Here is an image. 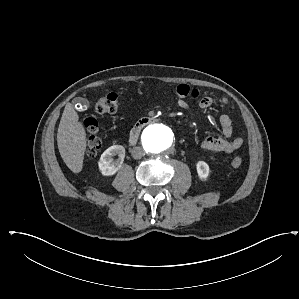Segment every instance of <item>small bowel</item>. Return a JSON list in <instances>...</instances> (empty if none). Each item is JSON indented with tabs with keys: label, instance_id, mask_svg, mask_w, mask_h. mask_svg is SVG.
Returning a JSON list of instances; mask_svg holds the SVG:
<instances>
[{
	"label": "small bowel",
	"instance_id": "c3829d8e",
	"mask_svg": "<svg viewBox=\"0 0 299 299\" xmlns=\"http://www.w3.org/2000/svg\"><path fill=\"white\" fill-rule=\"evenodd\" d=\"M177 105L184 110H191L194 105L190 100L196 99V106L200 109L209 108L216 100L210 95L200 96L198 91L192 90L189 86L181 84L176 89ZM219 101L222 104H227L228 100L225 97H220ZM219 123L222 130V137H207L201 144V150L206 154H232L243 145V139L240 137L232 139L233 122L228 114L219 116Z\"/></svg>",
	"mask_w": 299,
	"mask_h": 299
}]
</instances>
